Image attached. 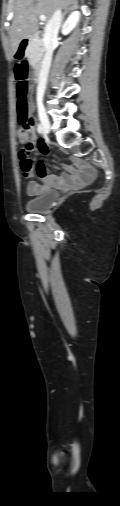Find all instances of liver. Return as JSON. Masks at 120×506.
Returning <instances> with one entry per match:
<instances>
[{
  "label": "liver",
  "instance_id": "1",
  "mask_svg": "<svg viewBox=\"0 0 120 506\" xmlns=\"http://www.w3.org/2000/svg\"><path fill=\"white\" fill-rule=\"evenodd\" d=\"M76 2L77 0H16L9 31L12 54L17 52L24 38L37 31L40 15H45L50 20L57 9L67 8Z\"/></svg>",
  "mask_w": 120,
  "mask_h": 506
}]
</instances>
